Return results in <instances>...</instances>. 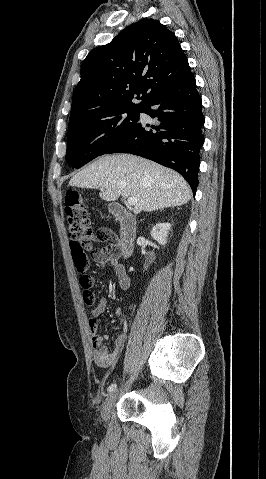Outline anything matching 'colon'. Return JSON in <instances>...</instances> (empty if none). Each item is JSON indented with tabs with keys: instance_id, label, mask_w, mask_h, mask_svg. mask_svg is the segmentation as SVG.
Masks as SVG:
<instances>
[{
	"instance_id": "obj_1",
	"label": "colon",
	"mask_w": 266,
	"mask_h": 479,
	"mask_svg": "<svg viewBox=\"0 0 266 479\" xmlns=\"http://www.w3.org/2000/svg\"><path fill=\"white\" fill-rule=\"evenodd\" d=\"M64 209L71 238L70 247L74 265L79 274L83 299L87 305H93L96 300L93 291V278L86 274L88 252L98 242H109L112 248L115 247L116 236L108 228H100L95 234L89 230L87 205L78 192L69 191L66 194Z\"/></svg>"
}]
</instances>
